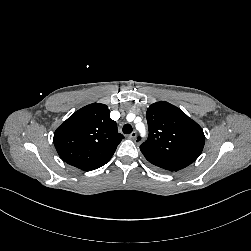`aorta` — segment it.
Here are the masks:
<instances>
[{"label": "aorta", "instance_id": "762f6f07", "mask_svg": "<svg viewBox=\"0 0 251 251\" xmlns=\"http://www.w3.org/2000/svg\"><path fill=\"white\" fill-rule=\"evenodd\" d=\"M136 127H137V129L139 130V132H140L142 135L145 134V127H144V124L139 123V124H137Z\"/></svg>", "mask_w": 251, "mask_h": 251}]
</instances>
